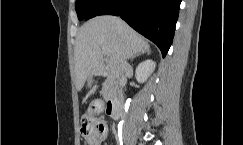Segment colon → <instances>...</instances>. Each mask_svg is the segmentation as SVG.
<instances>
[{"mask_svg":"<svg viewBox=\"0 0 243 145\" xmlns=\"http://www.w3.org/2000/svg\"><path fill=\"white\" fill-rule=\"evenodd\" d=\"M81 135L84 139L92 136L95 132V126L93 123L90 121V119L87 116H84L82 118V123H81Z\"/></svg>","mask_w":243,"mask_h":145,"instance_id":"1","label":"colon"}]
</instances>
